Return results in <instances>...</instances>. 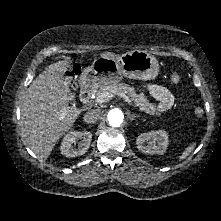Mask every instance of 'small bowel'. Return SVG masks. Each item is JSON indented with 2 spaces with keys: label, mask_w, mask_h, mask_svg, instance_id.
I'll use <instances>...</instances> for the list:
<instances>
[{
  "label": "small bowel",
  "mask_w": 221,
  "mask_h": 221,
  "mask_svg": "<svg viewBox=\"0 0 221 221\" xmlns=\"http://www.w3.org/2000/svg\"><path fill=\"white\" fill-rule=\"evenodd\" d=\"M146 88L158 102L156 106L157 110L166 111L173 106L175 97L167 88L157 84H147Z\"/></svg>",
  "instance_id": "small-bowel-1"
}]
</instances>
